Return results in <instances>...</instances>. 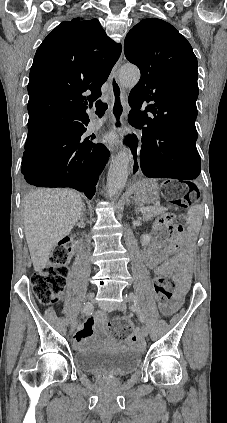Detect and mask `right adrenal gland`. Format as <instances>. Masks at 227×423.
Listing matches in <instances>:
<instances>
[{
    "instance_id": "obj_1",
    "label": "right adrenal gland",
    "mask_w": 227,
    "mask_h": 423,
    "mask_svg": "<svg viewBox=\"0 0 227 423\" xmlns=\"http://www.w3.org/2000/svg\"><path fill=\"white\" fill-rule=\"evenodd\" d=\"M83 213H87L85 204H83Z\"/></svg>"
}]
</instances>
